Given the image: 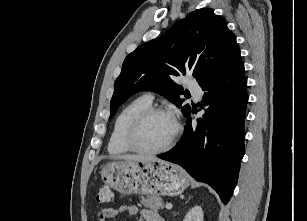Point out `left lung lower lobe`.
I'll list each match as a JSON object with an SVG mask.
<instances>
[{
	"label": "left lung lower lobe",
	"mask_w": 307,
	"mask_h": 221,
	"mask_svg": "<svg viewBox=\"0 0 307 221\" xmlns=\"http://www.w3.org/2000/svg\"><path fill=\"white\" fill-rule=\"evenodd\" d=\"M201 107L209 106L197 128L188 118L177 146L158 157L182 166L194 179L210 185L227 204L245 153L247 81L240 51L206 84Z\"/></svg>",
	"instance_id": "0a47b994"
}]
</instances>
